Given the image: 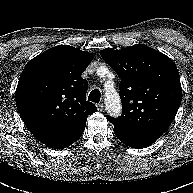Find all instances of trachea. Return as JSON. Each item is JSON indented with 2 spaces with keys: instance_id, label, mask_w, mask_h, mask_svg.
Instances as JSON below:
<instances>
[{
  "instance_id": "1",
  "label": "trachea",
  "mask_w": 193,
  "mask_h": 193,
  "mask_svg": "<svg viewBox=\"0 0 193 193\" xmlns=\"http://www.w3.org/2000/svg\"><path fill=\"white\" fill-rule=\"evenodd\" d=\"M100 98H101V93L99 89L92 90L88 96V100L94 103H99Z\"/></svg>"
}]
</instances>
